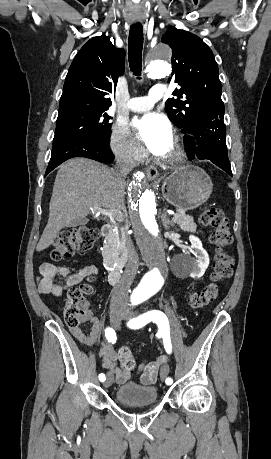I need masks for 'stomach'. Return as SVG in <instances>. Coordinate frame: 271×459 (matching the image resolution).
<instances>
[{"instance_id": "stomach-1", "label": "stomach", "mask_w": 271, "mask_h": 459, "mask_svg": "<svg viewBox=\"0 0 271 459\" xmlns=\"http://www.w3.org/2000/svg\"><path fill=\"white\" fill-rule=\"evenodd\" d=\"M213 184L198 166H182L162 182L161 192L168 204L181 210H194L207 202Z\"/></svg>"}]
</instances>
